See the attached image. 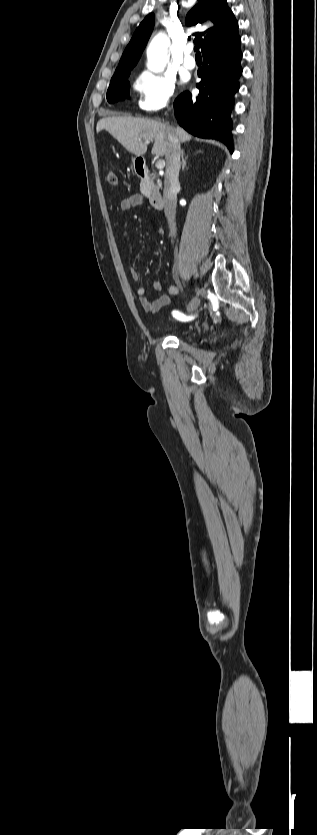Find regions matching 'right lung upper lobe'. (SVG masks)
<instances>
[{
    "label": "right lung upper lobe",
    "instance_id": "right-lung-upper-lobe-1",
    "mask_svg": "<svg viewBox=\"0 0 317 835\" xmlns=\"http://www.w3.org/2000/svg\"><path fill=\"white\" fill-rule=\"evenodd\" d=\"M186 24L200 30L193 33L202 51L215 41L225 40L238 34V22L228 8L226 0H198L188 12ZM154 27V14L151 13L137 27L127 45L116 71L133 69L137 64Z\"/></svg>",
    "mask_w": 317,
    "mask_h": 835
}]
</instances>
